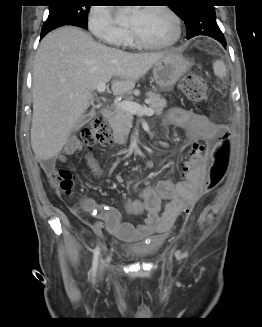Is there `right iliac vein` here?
<instances>
[{"instance_id": "obj_1", "label": "right iliac vein", "mask_w": 262, "mask_h": 327, "mask_svg": "<svg viewBox=\"0 0 262 327\" xmlns=\"http://www.w3.org/2000/svg\"><path fill=\"white\" fill-rule=\"evenodd\" d=\"M103 269H104V263L102 262V263H101V266H100L101 275H102V273H103Z\"/></svg>"}]
</instances>
